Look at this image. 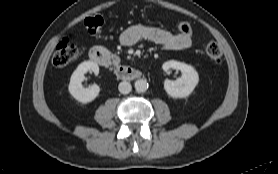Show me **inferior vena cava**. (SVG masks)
<instances>
[{"label":"inferior vena cava","mask_w":278,"mask_h":174,"mask_svg":"<svg viewBox=\"0 0 278 174\" xmlns=\"http://www.w3.org/2000/svg\"><path fill=\"white\" fill-rule=\"evenodd\" d=\"M118 89H119L120 93L128 94L131 92L132 87L129 82L123 81V82L119 83Z\"/></svg>","instance_id":"obj_1"}]
</instances>
